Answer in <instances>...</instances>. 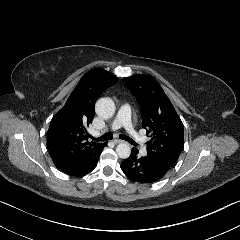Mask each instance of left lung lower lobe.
Wrapping results in <instances>:
<instances>
[{"instance_id": "0a47b994", "label": "left lung lower lobe", "mask_w": 240, "mask_h": 240, "mask_svg": "<svg viewBox=\"0 0 240 240\" xmlns=\"http://www.w3.org/2000/svg\"><path fill=\"white\" fill-rule=\"evenodd\" d=\"M121 168L128 178L139 183L156 182L170 169L155 163L148 156L139 157L136 148H133L130 157L122 162Z\"/></svg>"}]
</instances>
